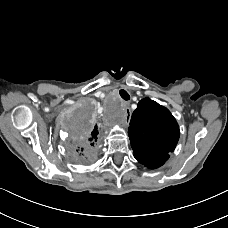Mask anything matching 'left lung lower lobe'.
<instances>
[{
  "mask_svg": "<svg viewBox=\"0 0 228 228\" xmlns=\"http://www.w3.org/2000/svg\"><path fill=\"white\" fill-rule=\"evenodd\" d=\"M161 165H163V164H161ZM161 165H157V167H156V168L160 167Z\"/></svg>",
  "mask_w": 228,
  "mask_h": 228,
  "instance_id": "0a47b994",
  "label": "left lung lower lobe"
}]
</instances>
